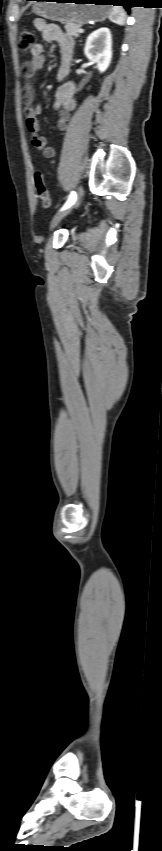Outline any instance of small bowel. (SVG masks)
<instances>
[{"mask_svg":"<svg viewBox=\"0 0 162 851\" xmlns=\"http://www.w3.org/2000/svg\"><path fill=\"white\" fill-rule=\"evenodd\" d=\"M35 26L42 33L45 41L55 42L57 44L61 55L57 79H64L69 71L72 58V38L58 25L47 23L44 19H37L35 21ZM43 51L44 49L41 44H35L30 51L32 55L31 60L23 65V74L26 80V84L23 89L25 124L27 130L32 135L33 146L42 154L43 157L52 158L55 156V149L49 144L48 140L39 133L38 116L41 114L42 108L40 105L34 104V89L31 84V80L35 73L41 69L45 63ZM75 92L76 88L73 82H65L61 84L55 92L53 108L58 110L56 126L59 131H65L67 129L71 112L76 108Z\"/></svg>","mask_w":162,"mask_h":851,"instance_id":"1","label":"small bowel"}]
</instances>
